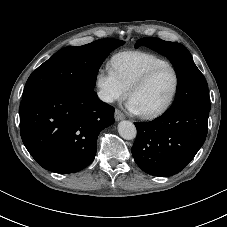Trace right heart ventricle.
I'll return each instance as SVG.
<instances>
[{"mask_svg":"<svg viewBox=\"0 0 227 227\" xmlns=\"http://www.w3.org/2000/svg\"><path fill=\"white\" fill-rule=\"evenodd\" d=\"M164 64H168V62L154 54L129 51L115 55L112 59L111 67L120 82L128 90L147 71Z\"/></svg>","mask_w":227,"mask_h":227,"instance_id":"right-heart-ventricle-1","label":"right heart ventricle"}]
</instances>
